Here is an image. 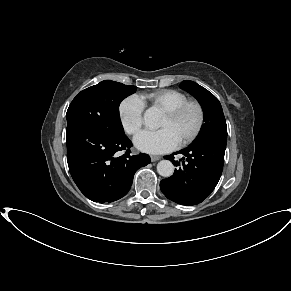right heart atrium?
Returning <instances> with one entry per match:
<instances>
[{
    "label": "right heart atrium",
    "mask_w": 291,
    "mask_h": 291,
    "mask_svg": "<svg viewBox=\"0 0 291 291\" xmlns=\"http://www.w3.org/2000/svg\"><path fill=\"white\" fill-rule=\"evenodd\" d=\"M118 118L129 135L138 133L143 125L144 103L137 95L125 97L118 106Z\"/></svg>",
    "instance_id": "right-heart-atrium-1"
}]
</instances>
